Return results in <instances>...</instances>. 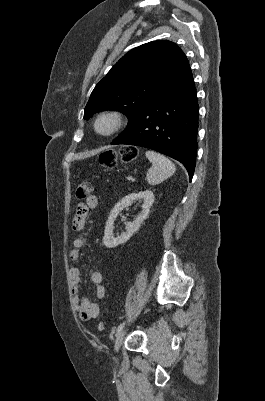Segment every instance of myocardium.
<instances>
[{"label":"myocardium","instance_id":"obj_1","mask_svg":"<svg viewBox=\"0 0 265 401\" xmlns=\"http://www.w3.org/2000/svg\"><path fill=\"white\" fill-rule=\"evenodd\" d=\"M104 120L108 121L110 125L107 131H101L99 128L100 123ZM123 122L124 118L122 112L111 109L100 113L95 118L93 128L98 136L110 137L116 134L121 129Z\"/></svg>","mask_w":265,"mask_h":401}]
</instances>
